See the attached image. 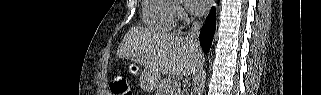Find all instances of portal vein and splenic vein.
Wrapping results in <instances>:
<instances>
[{"mask_svg":"<svg viewBox=\"0 0 321 95\" xmlns=\"http://www.w3.org/2000/svg\"><path fill=\"white\" fill-rule=\"evenodd\" d=\"M172 85L174 86V88H180V83L176 80H173Z\"/></svg>","mask_w":321,"mask_h":95,"instance_id":"obj_1","label":"portal vein and splenic vein"}]
</instances>
